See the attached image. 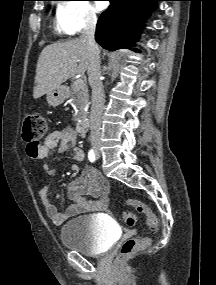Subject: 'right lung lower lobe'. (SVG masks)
<instances>
[{"mask_svg": "<svg viewBox=\"0 0 216 285\" xmlns=\"http://www.w3.org/2000/svg\"><path fill=\"white\" fill-rule=\"evenodd\" d=\"M96 26V41L103 48L115 51L130 48L137 41L148 14L160 0H109Z\"/></svg>", "mask_w": 216, "mask_h": 285, "instance_id": "1", "label": "right lung lower lobe"}]
</instances>
